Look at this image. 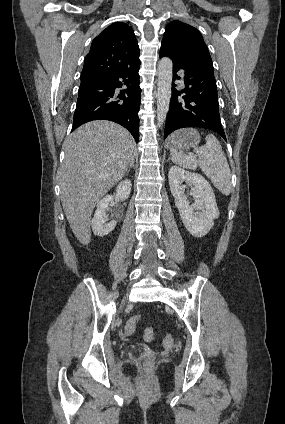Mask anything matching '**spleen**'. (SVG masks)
<instances>
[{"label":"spleen","instance_id":"obj_1","mask_svg":"<svg viewBox=\"0 0 285 424\" xmlns=\"http://www.w3.org/2000/svg\"><path fill=\"white\" fill-rule=\"evenodd\" d=\"M194 151L198 159L191 154L186 155L181 151L170 149L174 163L193 170L199 166L214 186L223 195L228 196L232 189L231 171L218 139L209 134L206 136V144L195 148Z\"/></svg>","mask_w":285,"mask_h":424}]
</instances>
